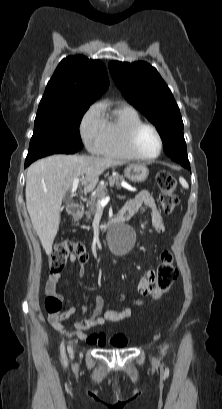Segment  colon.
<instances>
[{
  "instance_id": "1",
  "label": "colon",
  "mask_w": 222,
  "mask_h": 409,
  "mask_svg": "<svg viewBox=\"0 0 222 409\" xmlns=\"http://www.w3.org/2000/svg\"><path fill=\"white\" fill-rule=\"evenodd\" d=\"M156 183L160 190V207L163 213L171 214L179 203L177 194V182L168 171H160L156 176ZM71 256L77 257L80 264L85 265L89 255L82 241L63 240L57 243L49 254V268L55 274L61 272ZM158 277L156 283L150 289L153 293L147 297L155 298L169 289L177 277V269L174 258L170 252H164L161 263L155 268ZM147 275V273H146ZM45 308L49 314L60 315L62 302L54 296L45 299Z\"/></svg>"
}]
</instances>
